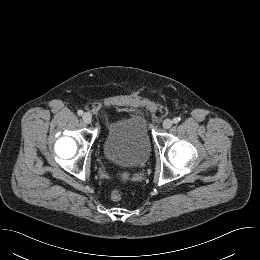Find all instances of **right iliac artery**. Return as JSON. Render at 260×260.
<instances>
[{
	"instance_id": "right-iliac-artery-1",
	"label": "right iliac artery",
	"mask_w": 260,
	"mask_h": 260,
	"mask_svg": "<svg viewBox=\"0 0 260 260\" xmlns=\"http://www.w3.org/2000/svg\"><path fill=\"white\" fill-rule=\"evenodd\" d=\"M77 113H78L79 116H82V115H83V111H82V110H78Z\"/></svg>"
}]
</instances>
